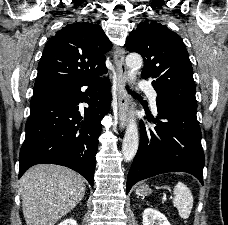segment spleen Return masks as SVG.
I'll return each instance as SVG.
<instances>
[{"label": "spleen", "mask_w": 228, "mask_h": 225, "mask_svg": "<svg viewBox=\"0 0 228 225\" xmlns=\"http://www.w3.org/2000/svg\"><path fill=\"white\" fill-rule=\"evenodd\" d=\"M173 195V205L176 207L179 217H181V219H188L191 215L194 203L190 189H188L184 183H177L173 189Z\"/></svg>", "instance_id": "obj_1"}]
</instances>
